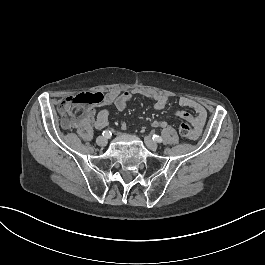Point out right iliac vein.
I'll return each mask as SVG.
<instances>
[{
  "label": "right iliac vein",
  "mask_w": 265,
  "mask_h": 265,
  "mask_svg": "<svg viewBox=\"0 0 265 265\" xmlns=\"http://www.w3.org/2000/svg\"><path fill=\"white\" fill-rule=\"evenodd\" d=\"M107 138L103 137V136H99L97 139H96V143L99 145V146H106L107 145Z\"/></svg>",
  "instance_id": "1"
}]
</instances>
